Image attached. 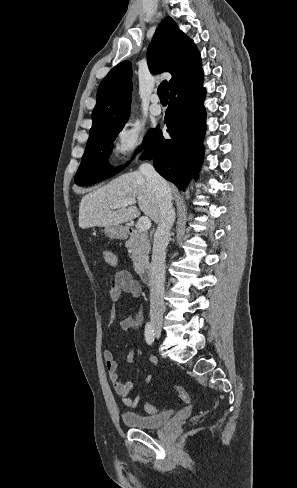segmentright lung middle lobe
<instances>
[{
    "label": "right lung middle lobe",
    "mask_w": 297,
    "mask_h": 488,
    "mask_svg": "<svg viewBox=\"0 0 297 488\" xmlns=\"http://www.w3.org/2000/svg\"><path fill=\"white\" fill-rule=\"evenodd\" d=\"M123 126L106 127L97 130L90 135L86 144V149L82 157V162L75 175L74 182L79 186L98 183L108 177L117 174L122 167L112 169L108 165V155L111 152V144L122 130ZM154 135V131L145 137L140 150L147 147Z\"/></svg>",
    "instance_id": "right-lung-middle-lobe-1"
}]
</instances>
